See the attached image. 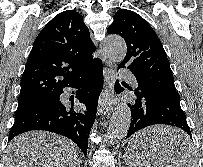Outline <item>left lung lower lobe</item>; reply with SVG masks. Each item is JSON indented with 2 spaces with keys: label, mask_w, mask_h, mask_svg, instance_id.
<instances>
[{
  "label": "left lung lower lobe",
  "mask_w": 203,
  "mask_h": 167,
  "mask_svg": "<svg viewBox=\"0 0 203 167\" xmlns=\"http://www.w3.org/2000/svg\"><path fill=\"white\" fill-rule=\"evenodd\" d=\"M130 90L136 99L134 103L129 104L132 119L126 138L138 130L154 124L179 127L192 138L177 92H163L152 86L142 87L138 90L130 88ZM149 144L151 145V143ZM177 146L186 149L190 146V138L188 137Z\"/></svg>",
  "instance_id": "1"
}]
</instances>
